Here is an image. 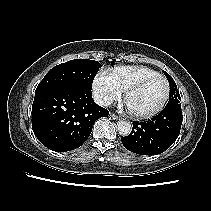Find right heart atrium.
I'll return each mask as SVG.
<instances>
[{
  "label": "right heart atrium",
  "instance_id": "d8ad5b80",
  "mask_svg": "<svg viewBox=\"0 0 211 211\" xmlns=\"http://www.w3.org/2000/svg\"><path fill=\"white\" fill-rule=\"evenodd\" d=\"M92 89L95 100L103 106L115 103L122 95V91L111 73L105 70L97 73L93 80Z\"/></svg>",
  "mask_w": 211,
  "mask_h": 211
}]
</instances>
